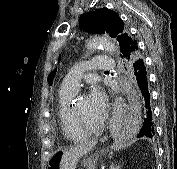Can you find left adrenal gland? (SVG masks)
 <instances>
[{
	"label": "left adrenal gland",
	"mask_w": 177,
	"mask_h": 169,
	"mask_svg": "<svg viewBox=\"0 0 177 169\" xmlns=\"http://www.w3.org/2000/svg\"><path fill=\"white\" fill-rule=\"evenodd\" d=\"M122 165H115L114 163L111 164L110 169H121Z\"/></svg>",
	"instance_id": "1"
}]
</instances>
